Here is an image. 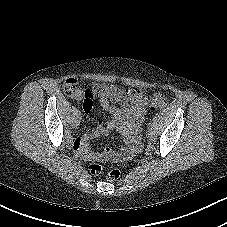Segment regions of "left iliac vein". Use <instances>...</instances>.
I'll list each match as a JSON object with an SVG mask.
<instances>
[{"mask_svg":"<svg viewBox=\"0 0 227 227\" xmlns=\"http://www.w3.org/2000/svg\"><path fill=\"white\" fill-rule=\"evenodd\" d=\"M147 138H148L149 140H154V139H155V133H154V131H153L152 129H149V130L147 131Z\"/></svg>","mask_w":227,"mask_h":227,"instance_id":"1","label":"left iliac vein"}]
</instances>
